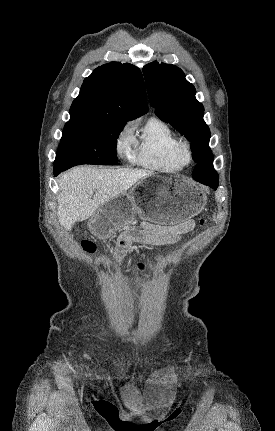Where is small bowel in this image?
<instances>
[{"label":"small bowel","instance_id":"c3829d8e","mask_svg":"<svg viewBox=\"0 0 275 431\" xmlns=\"http://www.w3.org/2000/svg\"><path fill=\"white\" fill-rule=\"evenodd\" d=\"M194 222L185 220L175 225H157L145 223L141 229H132L120 236L116 244L115 258H122L132 243L167 245L179 241L182 235L192 231Z\"/></svg>","mask_w":275,"mask_h":431}]
</instances>
